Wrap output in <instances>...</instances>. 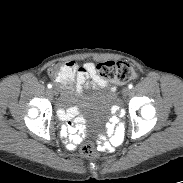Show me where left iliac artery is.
I'll list each match as a JSON object with an SVG mask.
<instances>
[{
  "mask_svg": "<svg viewBox=\"0 0 183 183\" xmlns=\"http://www.w3.org/2000/svg\"><path fill=\"white\" fill-rule=\"evenodd\" d=\"M128 88H129V89H132V88H133V85H132V84H129V85H128Z\"/></svg>",
  "mask_w": 183,
  "mask_h": 183,
  "instance_id": "44dca946",
  "label": "left iliac artery"
}]
</instances>
